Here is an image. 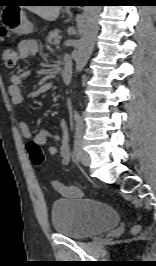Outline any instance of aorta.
Wrapping results in <instances>:
<instances>
[{
  "label": "aorta",
  "mask_w": 156,
  "mask_h": 266,
  "mask_svg": "<svg viewBox=\"0 0 156 266\" xmlns=\"http://www.w3.org/2000/svg\"><path fill=\"white\" fill-rule=\"evenodd\" d=\"M100 6H85L80 25L81 38L78 45L75 72L80 73L90 58L98 32Z\"/></svg>",
  "instance_id": "obj_1"
}]
</instances>
